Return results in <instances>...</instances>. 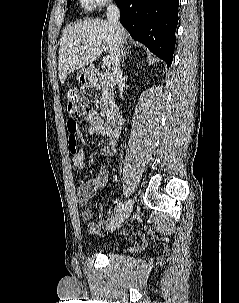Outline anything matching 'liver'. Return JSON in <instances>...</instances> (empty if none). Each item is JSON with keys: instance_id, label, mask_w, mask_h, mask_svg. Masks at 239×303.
Instances as JSON below:
<instances>
[{"instance_id": "6515ba94", "label": "liver", "mask_w": 239, "mask_h": 303, "mask_svg": "<svg viewBox=\"0 0 239 303\" xmlns=\"http://www.w3.org/2000/svg\"><path fill=\"white\" fill-rule=\"evenodd\" d=\"M124 30L122 44L127 40ZM119 37L114 26L107 20L89 19L64 29L60 39L58 70L59 79L65 82L67 76L95 61L102 53V46L110 53L114 64Z\"/></svg>"}]
</instances>
